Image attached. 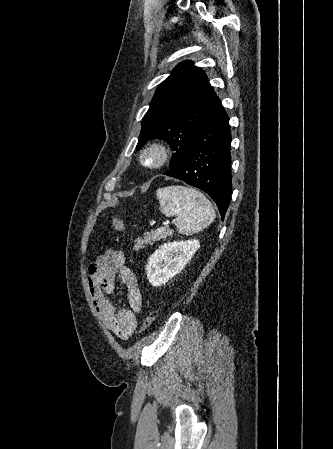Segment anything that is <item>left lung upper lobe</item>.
I'll list each match as a JSON object with an SVG mask.
<instances>
[{
    "instance_id": "5c2ea615",
    "label": "left lung upper lobe",
    "mask_w": 333,
    "mask_h": 449,
    "mask_svg": "<svg viewBox=\"0 0 333 449\" xmlns=\"http://www.w3.org/2000/svg\"><path fill=\"white\" fill-rule=\"evenodd\" d=\"M217 100L205 73L191 61L181 62L158 86L142 120L136 148L140 149L150 139H164L175 151L169 168L179 167Z\"/></svg>"
}]
</instances>
